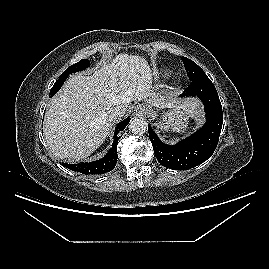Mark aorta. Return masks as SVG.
<instances>
[{
  "mask_svg": "<svg viewBox=\"0 0 269 269\" xmlns=\"http://www.w3.org/2000/svg\"><path fill=\"white\" fill-rule=\"evenodd\" d=\"M129 129L133 134H144L148 129V123L143 118H135L130 122Z\"/></svg>",
  "mask_w": 269,
  "mask_h": 269,
  "instance_id": "obj_1",
  "label": "aorta"
}]
</instances>
